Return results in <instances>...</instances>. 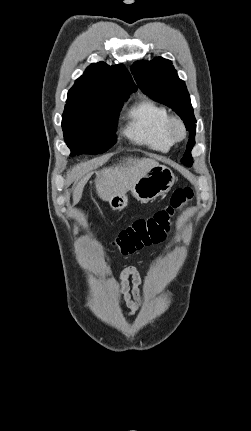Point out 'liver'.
I'll return each mask as SVG.
<instances>
[{"mask_svg": "<svg viewBox=\"0 0 251 431\" xmlns=\"http://www.w3.org/2000/svg\"><path fill=\"white\" fill-rule=\"evenodd\" d=\"M158 163L150 158H133L128 157L117 165L102 168L96 173L95 188L98 196L104 200L116 195L125 194L131 190L135 183L150 171ZM83 167L79 166L71 171L69 175L76 176L83 172ZM93 172L87 170L81 179L77 182L73 190V204H77L83 193L84 186L92 176Z\"/></svg>", "mask_w": 251, "mask_h": 431, "instance_id": "6515ba94", "label": "liver"}]
</instances>
